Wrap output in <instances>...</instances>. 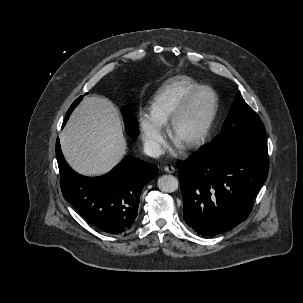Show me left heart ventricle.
I'll return each instance as SVG.
<instances>
[{"instance_id": "b2bd125f", "label": "left heart ventricle", "mask_w": 303, "mask_h": 303, "mask_svg": "<svg viewBox=\"0 0 303 303\" xmlns=\"http://www.w3.org/2000/svg\"><path fill=\"white\" fill-rule=\"evenodd\" d=\"M214 104L213 95L209 91L202 92L193 102L191 108L179 123L176 138L186 143L204 125Z\"/></svg>"}]
</instances>
